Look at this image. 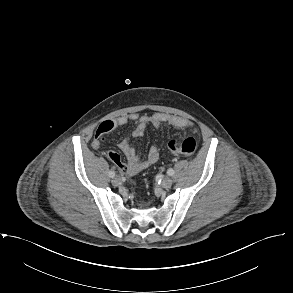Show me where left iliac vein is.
<instances>
[{"label":"left iliac vein","instance_id":"4c4485c4","mask_svg":"<svg viewBox=\"0 0 293 293\" xmlns=\"http://www.w3.org/2000/svg\"><path fill=\"white\" fill-rule=\"evenodd\" d=\"M161 185L163 188H170L172 185V179L169 177H164Z\"/></svg>","mask_w":293,"mask_h":293}]
</instances>
